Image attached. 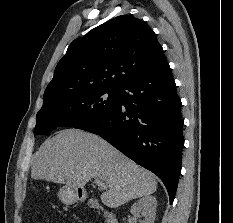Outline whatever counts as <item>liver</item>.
<instances>
[{
    "mask_svg": "<svg viewBox=\"0 0 233 223\" xmlns=\"http://www.w3.org/2000/svg\"><path fill=\"white\" fill-rule=\"evenodd\" d=\"M31 177L70 187H84L91 177H99L108 185L100 195L107 207H120L157 189L151 171L136 165L99 135L81 129H62L48 137L32 157Z\"/></svg>",
    "mask_w": 233,
    "mask_h": 223,
    "instance_id": "1",
    "label": "liver"
}]
</instances>
